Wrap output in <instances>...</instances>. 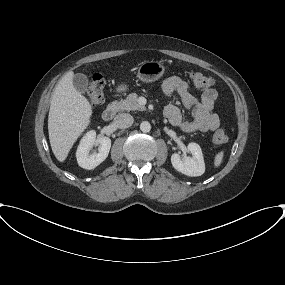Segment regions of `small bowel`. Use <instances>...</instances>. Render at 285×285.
Wrapping results in <instances>:
<instances>
[{"instance_id": "small-bowel-1", "label": "small bowel", "mask_w": 285, "mask_h": 285, "mask_svg": "<svg viewBox=\"0 0 285 285\" xmlns=\"http://www.w3.org/2000/svg\"><path fill=\"white\" fill-rule=\"evenodd\" d=\"M163 93L171 97L177 93L183 105L191 111L192 119L186 121L178 106L168 104L164 109V115L169 122L186 132L193 131H215L220 126V120L213 108L217 100L218 93L213 88L205 89L198 100L190 85L178 76L167 78L162 84Z\"/></svg>"}]
</instances>
